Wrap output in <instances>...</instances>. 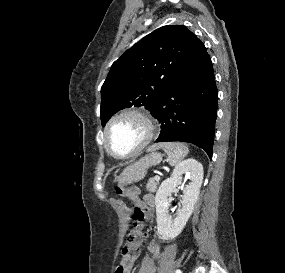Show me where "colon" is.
I'll return each mask as SVG.
<instances>
[{"mask_svg":"<svg viewBox=\"0 0 285 273\" xmlns=\"http://www.w3.org/2000/svg\"><path fill=\"white\" fill-rule=\"evenodd\" d=\"M115 193L119 196H126L132 201L131 219L135 225V229L128 235L126 244L121 250V258L118 261L114 273H130L134 262L140 254V246L143 240V231L145 219H147L148 206L141 197L138 196V190L134 186L123 189L120 185H116Z\"/></svg>","mask_w":285,"mask_h":273,"instance_id":"obj_1","label":"colon"}]
</instances>
